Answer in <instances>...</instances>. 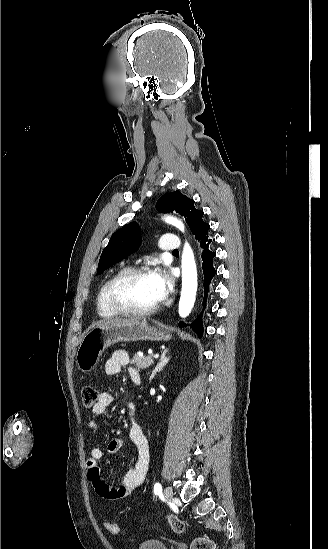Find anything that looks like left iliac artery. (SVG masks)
<instances>
[{"instance_id":"44dca946","label":"left iliac artery","mask_w":328,"mask_h":549,"mask_svg":"<svg viewBox=\"0 0 328 549\" xmlns=\"http://www.w3.org/2000/svg\"><path fill=\"white\" fill-rule=\"evenodd\" d=\"M162 492V486L160 483H156L154 485V493L157 495Z\"/></svg>"}]
</instances>
